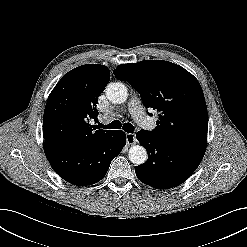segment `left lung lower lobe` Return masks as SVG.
I'll return each instance as SVG.
<instances>
[{"mask_svg":"<svg viewBox=\"0 0 247 247\" xmlns=\"http://www.w3.org/2000/svg\"><path fill=\"white\" fill-rule=\"evenodd\" d=\"M136 138L148 152V160L135 167L141 182L169 189L186 181L199 166L204 153L162 142L141 130Z\"/></svg>","mask_w":247,"mask_h":247,"instance_id":"left-lung-lower-lobe-1","label":"left lung lower lobe"}]
</instances>
